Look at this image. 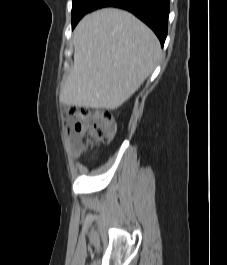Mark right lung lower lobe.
Masks as SVG:
<instances>
[{
    "label": "right lung lower lobe",
    "instance_id": "right-lung-lower-lobe-1",
    "mask_svg": "<svg viewBox=\"0 0 227 265\" xmlns=\"http://www.w3.org/2000/svg\"><path fill=\"white\" fill-rule=\"evenodd\" d=\"M104 7L121 8L133 13L154 31L161 45H164L170 10L169 0H98L93 10Z\"/></svg>",
    "mask_w": 227,
    "mask_h": 265
}]
</instances>
